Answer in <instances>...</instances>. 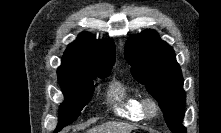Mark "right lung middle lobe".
<instances>
[{
    "label": "right lung middle lobe",
    "instance_id": "right-lung-middle-lobe-1",
    "mask_svg": "<svg viewBox=\"0 0 221 133\" xmlns=\"http://www.w3.org/2000/svg\"><path fill=\"white\" fill-rule=\"evenodd\" d=\"M112 65L92 66L58 76L66 100L60 106V119L55 133L78 118L94 92L95 85L93 80L97 77H108Z\"/></svg>",
    "mask_w": 221,
    "mask_h": 133
}]
</instances>
